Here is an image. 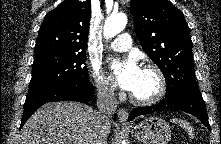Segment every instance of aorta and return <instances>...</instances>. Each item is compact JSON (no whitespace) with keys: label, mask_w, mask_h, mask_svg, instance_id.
<instances>
[{"label":"aorta","mask_w":221,"mask_h":144,"mask_svg":"<svg viewBox=\"0 0 221 144\" xmlns=\"http://www.w3.org/2000/svg\"><path fill=\"white\" fill-rule=\"evenodd\" d=\"M127 24V16L124 13L111 15L105 20L103 35L106 39L119 34Z\"/></svg>","instance_id":"aorta-1"}]
</instances>
